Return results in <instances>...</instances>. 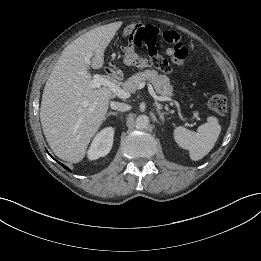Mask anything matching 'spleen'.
Here are the masks:
<instances>
[{
  "label": "spleen",
  "instance_id": "1",
  "mask_svg": "<svg viewBox=\"0 0 261 261\" xmlns=\"http://www.w3.org/2000/svg\"><path fill=\"white\" fill-rule=\"evenodd\" d=\"M220 132L221 126L217 118L210 116L206 123L198 127L197 132L178 126L174 129L173 136L179 147L187 149L190 158L197 161L212 150Z\"/></svg>",
  "mask_w": 261,
  "mask_h": 261
}]
</instances>
